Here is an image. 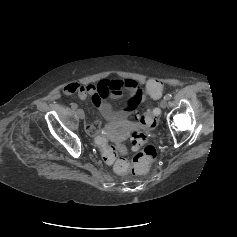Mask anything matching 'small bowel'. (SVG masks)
Wrapping results in <instances>:
<instances>
[{"label":"small bowel","instance_id":"obj_1","mask_svg":"<svg viewBox=\"0 0 237 237\" xmlns=\"http://www.w3.org/2000/svg\"><path fill=\"white\" fill-rule=\"evenodd\" d=\"M123 90L129 92L126 105L120 110H114L107 98L118 99L122 96ZM63 91L66 94H76L80 98L90 96L107 124L127 121L136 113L138 106L146 99L145 89L133 79H104L96 84L70 83L64 87ZM85 129L91 135L101 132L99 123L94 121H87Z\"/></svg>","mask_w":237,"mask_h":237}]
</instances>
